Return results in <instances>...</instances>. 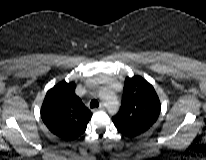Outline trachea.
Masks as SVG:
<instances>
[{
	"instance_id": "trachea-1",
	"label": "trachea",
	"mask_w": 206,
	"mask_h": 160,
	"mask_svg": "<svg viewBox=\"0 0 206 160\" xmlns=\"http://www.w3.org/2000/svg\"><path fill=\"white\" fill-rule=\"evenodd\" d=\"M98 106H99L98 100L93 99V100L90 102V107H91V108H96V107H98Z\"/></svg>"
}]
</instances>
